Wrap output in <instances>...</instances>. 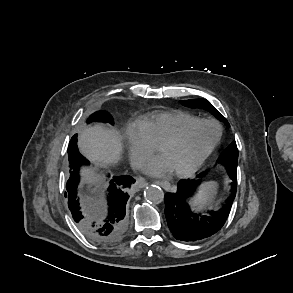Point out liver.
<instances>
[{"label": "liver", "mask_w": 293, "mask_h": 293, "mask_svg": "<svg viewBox=\"0 0 293 293\" xmlns=\"http://www.w3.org/2000/svg\"><path fill=\"white\" fill-rule=\"evenodd\" d=\"M78 147L81 154L97 165L105 166L116 163L122 152L119 134L101 125L84 129L78 138ZM82 182L96 185L101 176L92 169H82Z\"/></svg>", "instance_id": "6515ba94"}]
</instances>
